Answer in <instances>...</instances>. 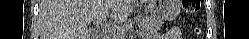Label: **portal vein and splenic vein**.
<instances>
[{
	"instance_id": "portal-vein-and-splenic-vein-1",
	"label": "portal vein and splenic vein",
	"mask_w": 249,
	"mask_h": 39,
	"mask_svg": "<svg viewBox=\"0 0 249 39\" xmlns=\"http://www.w3.org/2000/svg\"><path fill=\"white\" fill-rule=\"evenodd\" d=\"M99 20H100V19H99ZM97 23H99V21H98V20H97ZM117 31H118V32H122L123 30H122V29H120V28H118V29H117Z\"/></svg>"
}]
</instances>
